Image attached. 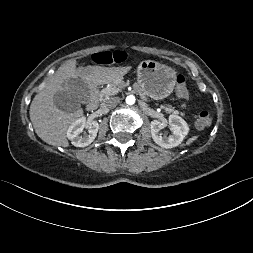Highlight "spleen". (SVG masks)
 <instances>
[{
  "instance_id": "3e777b00",
  "label": "spleen",
  "mask_w": 253,
  "mask_h": 253,
  "mask_svg": "<svg viewBox=\"0 0 253 253\" xmlns=\"http://www.w3.org/2000/svg\"><path fill=\"white\" fill-rule=\"evenodd\" d=\"M196 139H197V136L191 138V139L189 140V143L193 142V141L196 140Z\"/></svg>"
}]
</instances>
